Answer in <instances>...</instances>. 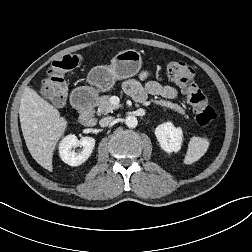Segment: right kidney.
<instances>
[{
	"mask_svg": "<svg viewBox=\"0 0 252 252\" xmlns=\"http://www.w3.org/2000/svg\"><path fill=\"white\" fill-rule=\"evenodd\" d=\"M77 146L83 147L79 153L73 149ZM94 146L95 139L92 137H82L78 140L75 135H68L59 144V155L68 165L79 166L90 157Z\"/></svg>",
	"mask_w": 252,
	"mask_h": 252,
	"instance_id": "ca27d5eb",
	"label": "right kidney"
}]
</instances>
